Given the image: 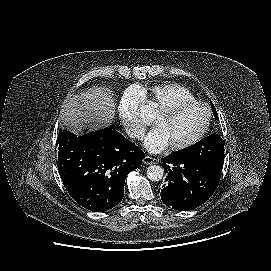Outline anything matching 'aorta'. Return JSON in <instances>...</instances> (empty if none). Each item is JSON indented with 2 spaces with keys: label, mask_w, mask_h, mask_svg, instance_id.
I'll return each mask as SVG.
<instances>
[{
  "label": "aorta",
  "mask_w": 271,
  "mask_h": 271,
  "mask_svg": "<svg viewBox=\"0 0 271 271\" xmlns=\"http://www.w3.org/2000/svg\"><path fill=\"white\" fill-rule=\"evenodd\" d=\"M163 174L164 170L159 165H151L147 168V177L153 182L160 181L163 177Z\"/></svg>",
  "instance_id": "obj_1"
}]
</instances>
